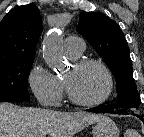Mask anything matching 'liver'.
<instances>
[{
  "mask_svg": "<svg viewBox=\"0 0 144 137\" xmlns=\"http://www.w3.org/2000/svg\"><path fill=\"white\" fill-rule=\"evenodd\" d=\"M103 116L84 111L61 112L0 103V137H73Z\"/></svg>",
  "mask_w": 144,
  "mask_h": 137,
  "instance_id": "obj_1",
  "label": "liver"
}]
</instances>
